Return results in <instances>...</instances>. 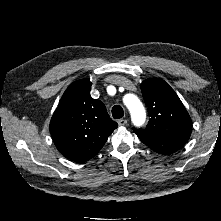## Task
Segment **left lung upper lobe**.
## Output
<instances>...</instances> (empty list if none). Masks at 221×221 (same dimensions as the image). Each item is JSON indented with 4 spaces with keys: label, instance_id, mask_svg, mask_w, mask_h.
<instances>
[{
    "label": "left lung upper lobe",
    "instance_id": "obj_1",
    "mask_svg": "<svg viewBox=\"0 0 221 221\" xmlns=\"http://www.w3.org/2000/svg\"><path fill=\"white\" fill-rule=\"evenodd\" d=\"M140 87L150 119L146 128H133L134 132L166 139L188 140L191 119L174 90L159 78L144 80Z\"/></svg>",
    "mask_w": 221,
    "mask_h": 221
}]
</instances>
